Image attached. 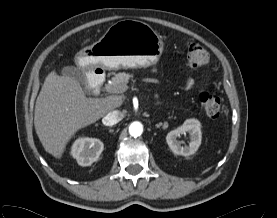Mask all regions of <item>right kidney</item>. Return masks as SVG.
<instances>
[{
    "label": "right kidney",
    "instance_id": "right-kidney-1",
    "mask_svg": "<svg viewBox=\"0 0 277 218\" xmlns=\"http://www.w3.org/2000/svg\"><path fill=\"white\" fill-rule=\"evenodd\" d=\"M104 149L103 143L96 138H78L72 145L71 155L81 166H90L98 160Z\"/></svg>",
    "mask_w": 277,
    "mask_h": 218
}]
</instances>
